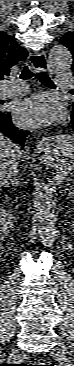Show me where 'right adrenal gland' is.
I'll list each match as a JSON object with an SVG mask.
<instances>
[{"mask_svg":"<svg viewBox=\"0 0 74 366\" xmlns=\"http://www.w3.org/2000/svg\"><path fill=\"white\" fill-rule=\"evenodd\" d=\"M20 184L19 176H15L14 178L10 179L6 182L5 187H9V185H15L18 186Z\"/></svg>","mask_w":74,"mask_h":366,"instance_id":"obj_1","label":"right adrenal gland"}]
</instances>
